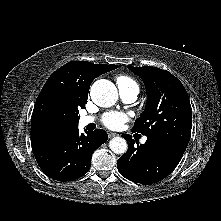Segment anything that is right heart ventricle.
<instances>
[{
  "label": "right heart ventricle",
  "instance_id": "1",
  "mask_svg": "<svg viewBox=\"0 0 221 221\" xmlns=\"http://www.w3.org/2000/svg\"><path fill=\"white\" fill-rule=\"evenodd\" d=\"M117 82L127 83V84L133 85V86H135V87L138 88L136 82L133 81V80H132L130 77H128V76H124V75L118 76V77H117Z\"/></svg>",
  "mask_w": 221,
  "mask_h": 221
}]
</instances>
